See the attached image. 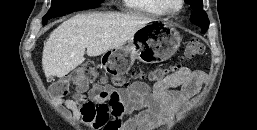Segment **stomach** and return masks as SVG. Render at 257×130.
I'll return each instance as SVG.
<instances>
[{
    "label": "stomach",
    "mask_w": 257,
    "mask_h": 130,
    "mask_svg": "<svg viewBox=\"0 0 257 130\" xmlns=\"http://www.w3.org/2000/svg\"><path fill=\"white\" fill-rule=\"evenodd\" d=\"M180 42V33L173 25L153 22L139 29L127 46L105 52L101 63L107 72L123 74L135 59L144 63L168 60L176 53Z\"/></svg>",
    "instance_id": "0dacf381"
}]
</instances>
